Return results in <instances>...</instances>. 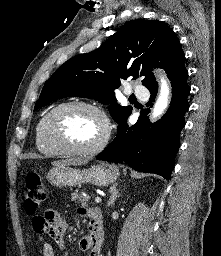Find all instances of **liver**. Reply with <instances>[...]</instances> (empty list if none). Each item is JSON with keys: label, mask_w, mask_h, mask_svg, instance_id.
Listing matches in <instances>:
<instances>
[{"label": "liver", "mask_w": 221, "mask_h": 256, "mask_svg": "<svg viewBox=\"0 0 221 256\" xmlns=\"http://www.w3.org/2000/svg\"><path fill=\"white\" fill-rule=\"evenodd\" d=\"M87 161L82 159H66V160H58L53 161V166H60V165H81L85 164Z\"/></svg>", "instance_id": "1"}]
</instances>
